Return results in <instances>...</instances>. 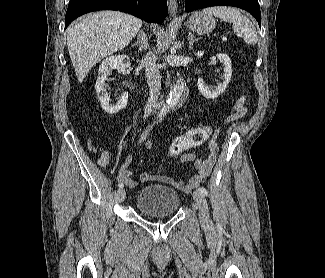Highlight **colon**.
<instances>
[{
  "mask_svg": "<svg viewBox=\"0 0 325 278\" xmlns=\"http://www.w3.org/2000/svg\"><path fill=\"white\" fill-rule=\"evenodd\" d=\"M211 134L210 125H202L192 129L188 136L180 135L173 139L169 147V154L171 157H177L182 152L193 147L202 145Z\"/></svg>",
  "mask_w": 325,
  "mask_h": 278,
  "instance_id": "5ec220e1",
  "label": "colon"
}]
</instances>
